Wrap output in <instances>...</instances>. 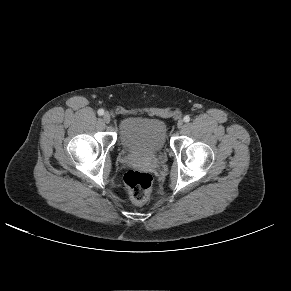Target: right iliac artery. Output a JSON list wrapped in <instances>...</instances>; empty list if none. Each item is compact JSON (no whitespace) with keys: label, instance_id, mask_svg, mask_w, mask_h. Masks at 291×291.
<instances>
[{"label":"right iliac artery","instance_id":"82829eb1","mask_svg":"<svg viewBox=\"0 0 291 291\" xmlns=\"http://www.w3.org/2000/svg\"><path fill=\"white\" fill-rule=\"evenodd\" d=\"M104 114V110L103 109H99L98 110V115L102 116Z\"/></svg>","mask_w":291,"mask_h":291}]
</instances>
